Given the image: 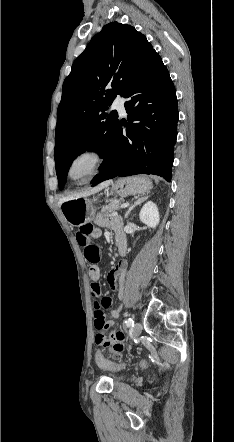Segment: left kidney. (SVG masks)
Here are the masks:
<instances>
[{
    "mask_svg": "<svg viewBox=\"0 0 234 442\" xmlns=\"http://www.w3.org/2000/svg\"><path fill=\"white\" fill-rule=\"evenodd\" d=\"M141 222L150 228H156L159 224L160 216L155 203L148 201L142 208L139 214Z\"/></svg>",
    "mask_w": 234,
    "mask_h": 442,
    "instance_id": "5707ae66",
    "label": "left kidney"
}]
</instances>
